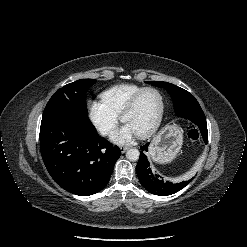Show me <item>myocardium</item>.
<instances>
[{
    "instance_id": "obj_1",
    "label": "myocardium",
    "mask_w": 247,
    "mask_h": 247,
    "mask_svg": "<svg viewBox=\"0 0 247 247\" xmlns=\"http://www.w3.org/2000/svg\"><path fill=\"white\" fill-rule=\"evenodd\" d=\"M146 92H154V93H156L159 96L161 107H160V112H159L158 118L155 121V123L149 129H147L146 131H144V132H142L140 134H137V136L139 138H141V139H145V138H148L151 135H153L158 130V128L160 127V125H161V123L163 121V118H164V115H165V107H166V105H165V98H164L163 94L158 89H156L154 87H145L142 90H140L138 93H136L131 98V100L127 103V105L124 107L123 111L120 114L121 121L124 122L125 117L131 111H133V109L136 107L139 99Z\"/></svg>"
}]
</instances>
